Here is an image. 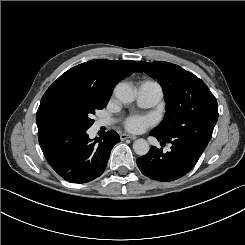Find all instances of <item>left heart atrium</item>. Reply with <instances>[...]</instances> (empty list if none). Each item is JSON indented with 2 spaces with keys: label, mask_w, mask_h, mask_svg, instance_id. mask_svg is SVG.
<instances>
[{
  "label": "left heart atrium",
  "mask_w": 245,
  "mask_h": 245,
  "mask_svg": "<svg viewBox=\"0 0 245 245\" xmlns=\"http://www.w3.org/2000/svg\"><path fill=\"white\" fill-rule=\"evenodd\" d=\"M150 120L144 116H131L126 120V127L133 132H141L149 125Z\"/></svg>",
  "instance_id": "1"
}]
</instances>
